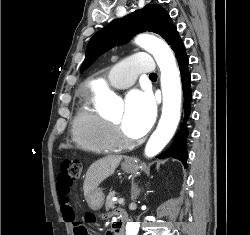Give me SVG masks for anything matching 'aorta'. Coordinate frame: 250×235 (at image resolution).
I'll list each match as a JSON object with an SVG mask.
<instances>
[{
  "instance_id": "aorta-1",
  "label": "aorta",
  "mask_w": 250,
  "mask_h": 235,
  "mask_svg": "<svg viewBox=\"0 0 250 235\" xmlns=\"http://www.w3.org/2000/svg\"><path fill=\"white\" fill-rule=\"evenodd\" d=\"M135 43L154 56L161 71L162 115L157 129L145 147V155L153 157L168 144L178 126L181 115V82L175 57L163 40L152 35L140 34L135 38ZM94 85L97 92H103L104 100L109 102L115 111H118L120 103L116 95L105 91V84L102 81H97ZM139 227V222H128L126 235H137Z\"/></svg>"
}]
</instances>
